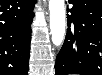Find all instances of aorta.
<instances>
[{
  "label": "aorta",
  "mask_w": 102,
  "mask_h": 75,
  "mask_svg": "<svg viewBox=\"0 0 102 75\" xmlns=\"http://www.w3.org/2000/svg\"><path fill=\"white\" fill-rule=\"evenodd\" d=\"M51 40L55 46H60L65 37V7L64 0H49Z\"/></svg>",
  "instance_id": "762f6f07"
}]
</instances>
